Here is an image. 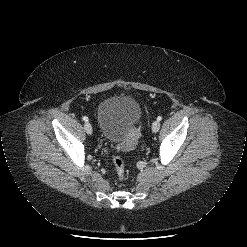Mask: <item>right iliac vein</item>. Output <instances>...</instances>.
Returning <instances> with one entry per match:
<instances>
[{
  "mask_svg": "<svg viewBox=\"0 0 247 247\" xmlns=\"http://www.w3.org/2000/svg\"><path fill=\"white\" fill-rule=\"evenodd\" d=\"M84 129H85L86 133L89 135H91L93 133L92 126L89 122H86L84 124Z\"/></svg>",
  "mask_w": 247,
  "mask_h": 247,
  "instance_id": "63e3f726",
  "label": "right iliac vein"
}]
</instances>
